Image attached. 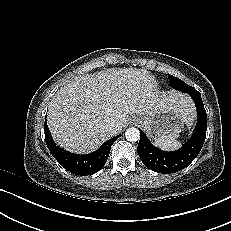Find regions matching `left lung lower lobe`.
Returning a JSON list of instances; mask_svg holds the SVG:
<instances>
[{"mask_svg":"<svg viewBox=\"0 0 231 231\" xmlns=\"http://www.w3.org/2000/svg\"><path fill=\"white\" fill-rule=\"evenodd\" d=\"M197 109V124L189 141L173 152L162 151L154 147L142 130L138 144V155L143 164L158 173L171 174L189 165L199 154L207 130L206 111L199 92L190 94Z\"/></svg>","mask_w":231,"mask_h":231,"instance_id":"left-lung-lower-lobe-1","label":"left lung lower lobe"}]
</instances>
